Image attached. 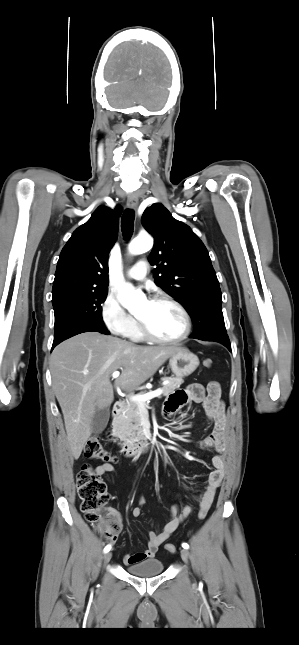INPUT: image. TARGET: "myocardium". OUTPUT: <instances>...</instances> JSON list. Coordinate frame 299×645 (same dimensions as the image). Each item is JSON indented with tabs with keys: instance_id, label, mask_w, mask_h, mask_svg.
Masks as SVG:
<instances>
[{
	"instance_id": "obj_1",
	"label": "myocardium",
	"mask_w": 299,
	"mask_h": 645,
	"mask_svg": "<svg viewBox=\"0 0 299 645\" xmlns=\"http://www.w3.org/2000/svg\"><path fill=\"white\" fill-rule=\"evenodd\" d=\"M151 302H165V303H168V304L172 305L173 307H175L180 312V314H181V316L183 318L184 329L181 332V334L178 335L177 337H174V338H161V337H158V336H156L155 334H153L151 332V330L149 329L148 325L146 324V322L144 320H142L139 317H136L140 333L142 334V336L146 340L154 342V343H160V344H176V343H179V342L185 340L190 335L191 329H192L191 317H190V314L187 311V309L180 302H178L177 300H175L171 296L165 295V294H160V295L155 296L151 300Z\"/></svg>"
}]
</instances>
